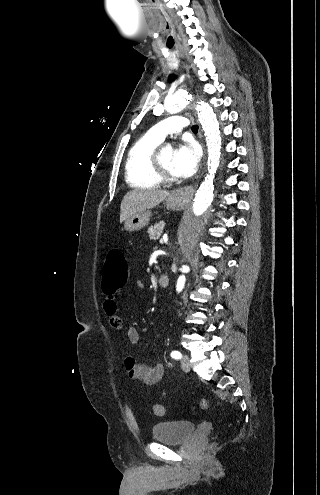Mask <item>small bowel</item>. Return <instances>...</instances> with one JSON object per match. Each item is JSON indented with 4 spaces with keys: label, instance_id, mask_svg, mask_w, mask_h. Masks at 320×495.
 <instances>
[{
    "label": "small bowel",
    "instance_id": "c3829d8e",
    "mask_svg": "<svg viewBox=\"0 0 320 495\" xmlns=\"http://www.w3.org/2000/svg\"><path fill=\"white\" fill-rule=\"evenodd\" d=\"M137 286L142 288L143 285L141 282L137 281ZM115 295L116 292L106 293V298L103 303V310L109 317L111 326L114 329H120L123 326V321L118 312ZM161 335V332L157 333L158 337H161ZM127 338L131 344L137 345L140 341V333L134 326H130L127 329ZM124 363L128 376L132 379H138L146 385L156 384L164 375L163 364H157L150 367L142 363H137L135 358L132 356H127Z\"/></svg>",
    "mask_w": 320,
    "mask_h": 495
}]
</instances>
